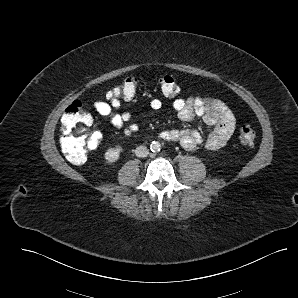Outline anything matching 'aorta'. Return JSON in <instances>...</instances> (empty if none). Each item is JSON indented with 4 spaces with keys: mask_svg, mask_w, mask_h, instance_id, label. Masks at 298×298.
<instances>
[{
    "mask_svg": "<svg viewBox=\"0 0 298 298\" xmlns=\"http://www.w3.org/2000/svg\"><path fill=\"white\" fill-rule=\"evenodd\" d=\"M150 150L153 153H158L161 150V144L158 141H152L150 144Z\"/></svg>",
    "mask_w": 298,
    "mask_h": 298,
    "instance_id": "762f6f07",
    "label": "aorta"
}]
</instances>
